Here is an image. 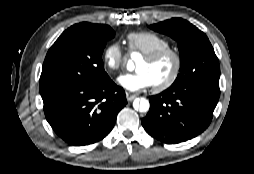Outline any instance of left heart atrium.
I'll list each match as a JSON object with an SVG mask.
<instances>
[{
    "label": "left heart atrium",
    "mask_w": 254,
    "mask_h": 174,
    "mask_svg": "<svg viewBox=\"0 0 254 174\" xmlns=\"http://www.w3.org/2000/svg\"><path fill=\"white\" fill-rule=\"evenodd\" d=\"M118 83L125 89L138 92L154 86L151 77L144 71L137 70L134 73L123 74L118 77Z\"/></svg>",
    "instance_id": "obj_1"
}]
</instances>
